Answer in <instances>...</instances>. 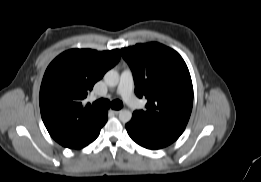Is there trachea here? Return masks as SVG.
<instances>
[{
	"label": "trachea",
	"mask_w": 261,
	"mask_h": 182,
	"mask_svg": "<svg viewBox=\"0 0 261 182\" xmlns=\"http://www.w3.org/2000/svg\"><path fill=\"white\" fill-rule=\"evenodd\" d=\"M93 106L99 109H108L111 107L112 109L119 110L123 107V103L120 100L110 102L108 99H99L93 103Z\"/></svg>",
	"instance_id": "obj_1"
}]
</instances>
